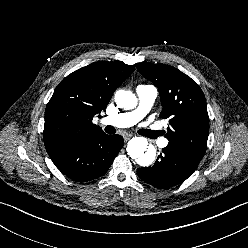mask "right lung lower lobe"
I'll return each mask as SVG.
<instances>
[{
  "label": "right lung lower lobe",
  "mask_w": 248,
  "mask_h": 248,
  "mask_svg": "<svg viewBox=\"0 0 248 248\" xmlns=\"http://www.w3.org/2000/svg\"><path fill=\"white\" fill-rule=\"evenodd\" d=\"M123 144L122 136L99 132L61 145L48 154L64 175L86 182L107 172Z\"/></svg>",
  "instance_id": "right-lung-lower-lobe-1"
}]
</instances>
